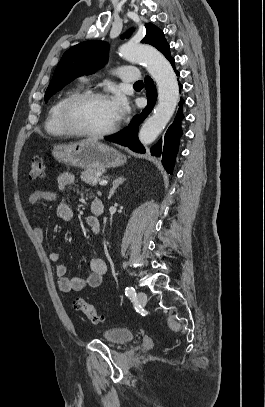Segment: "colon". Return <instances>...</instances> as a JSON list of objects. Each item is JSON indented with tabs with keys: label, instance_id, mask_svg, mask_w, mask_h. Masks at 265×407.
Listing matches in <instances>:
<instances>
[{
	"label": "colon",
	"instance_id": "colon-1",
	"mask_svg": "<svg viewBox=\"0 0 265 407\" xmlns=\"http://www.w3.org/2000/svg\"><path fill=\"white\" fill-rule=\"evenodd\" d=\"M44 172V164L41 157H33L30 162L29 177L33 180L39 179L43 177ZM73 305L76 310L82 312L93 323H100L104 320L99 311L83 298H76Z\"/></svg>",
	"mask_w": 265,
	"mask_h": 407
}]
</instances>
